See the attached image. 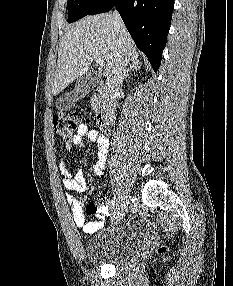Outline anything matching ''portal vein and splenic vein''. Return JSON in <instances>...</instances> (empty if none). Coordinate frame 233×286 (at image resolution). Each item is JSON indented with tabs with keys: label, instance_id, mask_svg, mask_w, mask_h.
Segmentation results:
<instances>
[{
	"label": "portal vein and splenic vein",
	"instance_id": "1",
	"mask_svg": "<svg viewBox=\"0 0 233 286\" xmlns=\"http://www.w3.org/2000/svg\"><path fill=\"white\" fill-rule=\"evenodd\" d=\"M95 61H96V64H97L99 67H104V66H105V62H104L103 59H101V58H96Z\"/></svg>",
	"mask_w": 233,
	"mask_h": 286
}]
</instances>
